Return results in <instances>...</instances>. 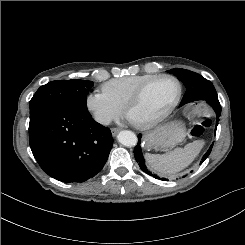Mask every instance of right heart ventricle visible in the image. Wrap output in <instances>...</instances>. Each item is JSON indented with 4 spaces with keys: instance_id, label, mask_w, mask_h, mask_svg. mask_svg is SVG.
<instances>
[{
    "instance_id": "e07e8e85",
    "label": "right heart ventricle",
    "mask_w": 245,
    "mask_h": 245,
    "mask_svg": "<svg viewBox=\"0 0 245 245\" xmlns=\"http://www.w3.org/2000/svg\"><path fill=\"white\" fill-rule=\"evenodd\" d=\"M154 76L156 75L143 74L112 79L102 85V91L113 102L124 109L138 87Z\"/></svg>"
}]
</instances>
